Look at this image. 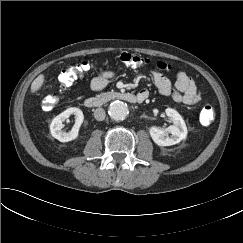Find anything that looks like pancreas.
Returning a JSON list of instances; mask_svg holds the SVG:
<instances>
[{
    "label": "pancreas",
    "mask_w": 243,
    "mask_h": 243,
    "mask_svg": "<svg viewBox=\"0 0 243 243\" xmlns=\"http://www.w3.org/2000/svg\"><path fill=\"white\" fill-rule=\"evenodd\" d=\"M109 94H110L109 92H107V93H101V94L97 95L96 98L97 99H105V98L108 97Z\"/></svg>",
    "instance_id": "cf45deb5"
}]
</instances>
